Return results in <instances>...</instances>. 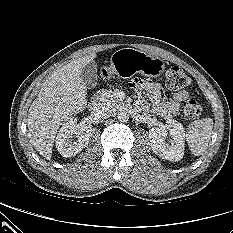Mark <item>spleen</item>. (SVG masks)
<instances>
[{"label":"spleen","instance_id":"spleen-1","mask_svg":"<svg viewBox=\"0 0 233 233\" xmlns=\"http://www.w3.org/2000/svg\"><path fill=\"white\" fill-rule=\"evenodd\" d=\"M213 125L211 118H204L193 121L188 126L186 141L193 155L200 156L207 149Z\"/></svg>","mask_w":233,"mask_h":233}]
</instances>
